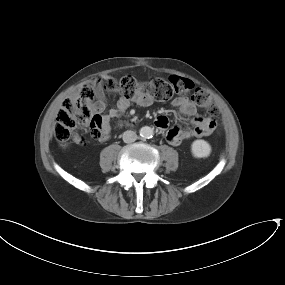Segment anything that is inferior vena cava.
<instances>
[{
  "label": "inferior vena cava",
  "mask_w": 285,
  "mask_h": 285,
  "mask_svg": "<svg viewBox=\"0 0 285 285\" xmlns=\"http://www.w3.org/2000/svg\"><path fill=\"white\" fill-rule=\"evenodd\" d=\"M137 139V134L136 132L132 130H127L123 133V141L125 143H132Z\"/></svg>",
  "instance_id": "obj_1"
}]
</instances>
